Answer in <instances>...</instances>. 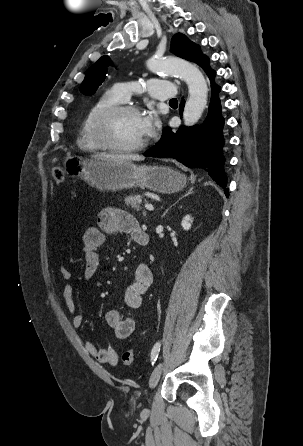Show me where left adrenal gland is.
<instances>
[{"label": "left adrenal gland", "mask_w": 303, "mask_h": 446, "mask_svg": "<svg viewBox=\"0 0 303 446\" xmlns=\"http://www.w3.org/2000/svg\"><path fill=\"white\" fill-rule=\"evenodd\" d=\"M192 193H193V189L190 188L184 196H182L181 198H179L174 204H172L171 206H169V207L165 210V212H164L163 215H162V218L168 213L169 209L172 208V206H174L176 203H178L182 198H184V197H186V196H188V195H190V194H192Z\"/></svg>", "instance_id": "1"}]
</instances>
